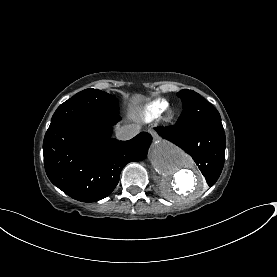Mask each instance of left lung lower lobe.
<instances>
[{
    "mask_svg": "<svg viewBox=\"0 0 277 277\" xmlns=\"http://www.w3.org/2000/svg\"><path fill=\"white\" fill-rule=\"evenodd\" d=\"M156 131L193 158L209 186L215 184L225 161L226 139L221 120L158 127Z\"/></svg>",
    "mask_w": 277,
    "mask_h": 277,
    "instance_id": "left-lung-lower-lobe-1",
    "label": "left lung lower lobe"
}]
</instances>
